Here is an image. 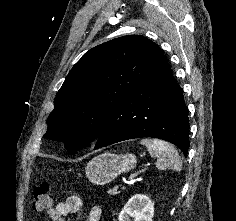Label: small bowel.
Segmentation results:
<instances>
[{"mask_svg": "<svg viewBox=\"0 0 236 221\" xmlns=\"http://www.w3.org/2000/svg\"><path fill=\"white\" fill-rule=\"evenodd\" d=\"M83 200L78 195H70L65 200L57 203L56 206L48 210V215L53 221H65V217L70 214L80 216ZM102 210L99 206H93L88 213L86 221H100Z\"/></svg>", "mask_w": 236, "mask_h": 221, "instance_id": "obj_1", "label": "small bowel"}]
</instances>
